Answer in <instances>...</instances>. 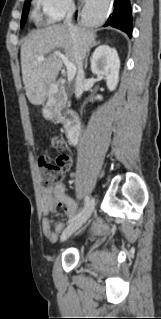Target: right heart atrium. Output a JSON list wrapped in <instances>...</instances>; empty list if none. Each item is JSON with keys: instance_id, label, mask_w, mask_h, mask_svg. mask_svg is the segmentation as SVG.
Wrapping results in <instances>:
<instances>
[{"instance_id": "obj_1", "label": "right heart atrium", "mask_w": 161, "mask_h": 319, "mask_svg": "<svg viewBox=\"0 0 161 319\" xmlns=\"http://www.w3.org/2000/svg\"><path fill=\"white\" fill-rule=\"evenodd\" d=\"M49 23L60 22L67 14L73 11V0H35Z\"/></svg>"}]
</instances>
